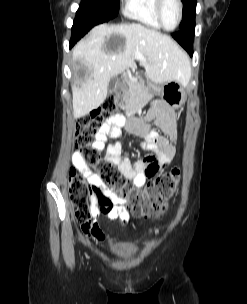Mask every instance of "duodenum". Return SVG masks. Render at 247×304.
Segmentation results:
<instances>
[{"instance_id":"410a0bca","label":"duodenum","mask_w":247,"mask_h":304,"mask_svg":"<svg viewBox=\"0 0 247 304\" xmlns=\"http://www.w3.org/2000/svg\"><path fill=\"white\" fill-rule=\"evenodd\" d=\"M139 81H141V80H139ZM148 80L145 78V79H143V82H147ZM147 84V83H146ZM125 89H131V86H125ZM120 107V106H119Z\"/></svg>"}]
</instances>
